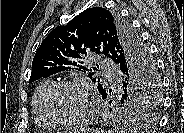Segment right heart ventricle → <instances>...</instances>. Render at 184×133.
Masks as SVG:
<instances>
[{
	"instance_id": "e07e8e85",
	"label": "right heart ventricle",
	"mask_w": 184,
	"mask_h": 133,
	"mask_svg": "<svg viewBox=\"0 0 184 133\" xmlns=\"http://www.w3.org/2000/svg\"><path fill=\"white\" fill-rule=\"evenodd\" d=\"M52 83H53L52 80H45L44 82H42L40 86L36 89L34 98H33V111H34L36 120L38 121V123L46 127L51 126L52 123L44 115L41 102L45 91Z\"/></svg>"
}]
</instances>
